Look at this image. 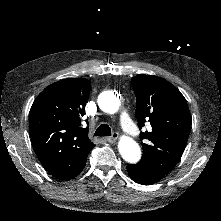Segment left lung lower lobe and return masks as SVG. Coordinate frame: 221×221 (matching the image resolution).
Wrapping results in <instances>:
<instances>
[{"instance_id": "0a47b994", "label": "left lung lower lobe", "mask_w": 221, "mask_h": 221, "mask_svg": "<svg viewBox=\"0 0 221 221\" xmlns=\"http://www.w3.org/2000/svg\"><path fill=\"white\" fill-rule=\"evenodd\" d=\"M127 170L132 180L142 185L153 184L164 177L160 173L152 170L142 161L138 164L127 165Z\"/></svg>"}]
</instances>
